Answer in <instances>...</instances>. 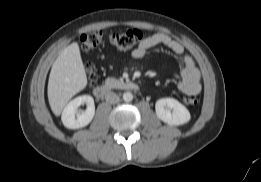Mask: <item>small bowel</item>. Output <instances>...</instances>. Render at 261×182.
Masks as SVG:
<instances>
[{
    "label": "small bowel",
    "mask_w": 261,
    "mask_h": 182,
    "mask_svg": "<svg viewBox=\"0 0 261 182\" xmlns=\"http://www.w3.org/2000/svg\"><path fill=\"white\" fill-rule=\"evenodd\" d=\"M157 45H163L182 59L180 80L177 83L179 91L184 94L197 95L201 91L200 73L193 59L186 54L180 42L165 33H155L145 37L136 49L132 51V57L142 59L147 51Z\"/></svg>",
    "instance_id": "c3829d8e"
}]
</instances>
